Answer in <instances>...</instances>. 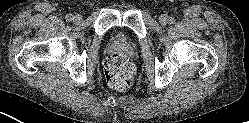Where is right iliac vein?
Returning <instances> with one entry per match:
<instances>
[{"mask_svg": "<svg viewBox=\"0 0 249 123\" xmlns=\"http://www.w3.org/2000/svg\"><path fill=\"white\" fill-rule=\"evenodd\" d=\"M81 20H82V16L79 15V14H77L76 16L73 17V21H74L75 23H80Z\"/></svg>", "mask_w": 249, "mask_h": 123, "instance_id": "63e3f726", "label": "right iliac vein"}]
</instances>
